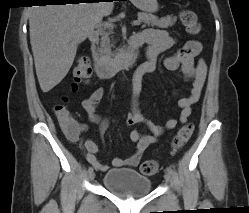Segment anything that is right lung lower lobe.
Wrapping results in <instances>:
<instances>
[{
    "instance_id": "98d812e1",
    "label": "right lung lower lobe",
    "mask_w": 249,
    "mask_h": 213,
    "mask_svg": "<svg viewBox=\"0 0 249 213\" xmlns=\"http://www.w3.org/2000/svg\"><path fill=\"white\" fill-rule=\"evenodd\" d=\"M43 1H45L47 3H55V4L59 5V4H66V3H78L79 4V2L82 0H43ZM107 1H113V0H107ZM45 2H43V3H45Z\"/></svg>"
}]
</instances>
